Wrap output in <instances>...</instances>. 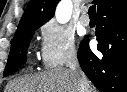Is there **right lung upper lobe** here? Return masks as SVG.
<instances>
[{"label": "right lung upper lobe", "instance_id": "right-lung-upper-lobe-1", "mask_svg": "<svg viewBox=\"0 0 127 92\" xmlns=\"http://www.w3.org/2000/svg\"><path fill=\"white\" fill-rule=\"evenodd\" d=\"M58 2L59 0H31L19 22L15 36L29 27L46 23L53 17ZM93 3L97 5L98 14L127 6V0H94Z\"/></svg>", "mask_w": 127, "mask_h": 92}]
</instances>
